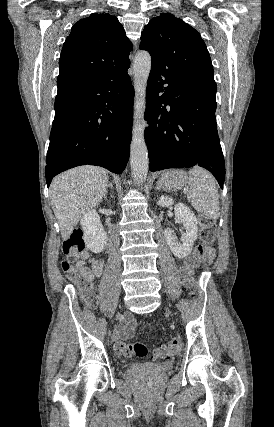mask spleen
<instances>
[{"instance_id":"1","label":"spleen","mask_w":274,"mask_h":427,"mask_svg":"<svg viewBox=\"0 0 274 427\" xmlns=\"http://www.w3.org/2000/svg\"><path fill=\"white\" fill-rule=\"evenodd\" d=\"M188 176L187 198L191 206L208 219H218L220 215L218 188L212 174L199 166H194L193 170L188 172Z\"/></svg>"}]
</instances>
